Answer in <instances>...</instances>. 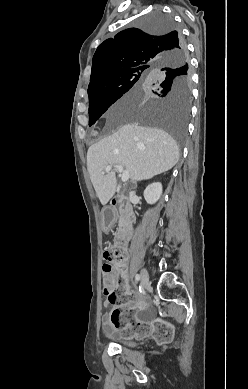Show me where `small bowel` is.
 <instances>
[{"instance_id": "c3829d8e", "label": "small bowel", "mask_w": 248, "mask_h": 389, "mask_svg": "<svg viewBox=\"0 0 248 389\" xmlns=\"http://www.w3.org/2000/svg\"><path fill=\"white\" fill-rule=\"evenodd\" d=\"M110 305H115L113 303H111L110 301L106 300L104 302V307H109ZM146 303H141L140 306L138 307V312H137V315H136V318L140 321V322H146L150 316H151V313L150 311L146 308ZM115 310V308L106 313L103 318H102V322H103V328L105 330H108L110 325L112 324L111 323V320H110V317H111V314L112 312Z\"/></svg>"}]
</instances>
